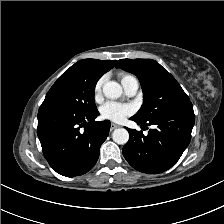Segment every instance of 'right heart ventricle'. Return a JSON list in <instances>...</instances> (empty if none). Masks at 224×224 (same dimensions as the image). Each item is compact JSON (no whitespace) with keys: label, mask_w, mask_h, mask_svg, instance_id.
Returning <instances> with one entry per match:
<instances>
[{"label":"right heart ventricle","mask_w":224,"mask_h":224,"mask_svg":"<svg viewBox=\"0 0 224 224\" xmlns=\"http://www.w3.org/2000/svg\"><path fill=\"white\" fill-rule=\"evenodd\" d=\"M120 79H121V83L123 84L125 81H127L128 79L132 78L131 75L125 74V73H121L119 75Z\"/></svg>","instance_id":"1"}]
</instances>
